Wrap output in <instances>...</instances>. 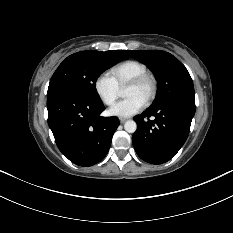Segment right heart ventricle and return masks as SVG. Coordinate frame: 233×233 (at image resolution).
Wrapping results in <instances>:
<instances>
[{
	"label": "right heart ventricle",
	"mask_w": 233,
	"mask_h": 233,
	"mask_svg": "<svg viewBox=\"0 0 233 233\" xmlns=\"http://www.w3.org/2000/svg\"><path fill=\"white\" fill-rule=\"evenodd\" d=\"M148 72L147 66L137 60H127L114 66L110 70V76L118 87L125 86L133 78Z\"/></svg>",
	"instance_id": "1"
}]
</instances>
